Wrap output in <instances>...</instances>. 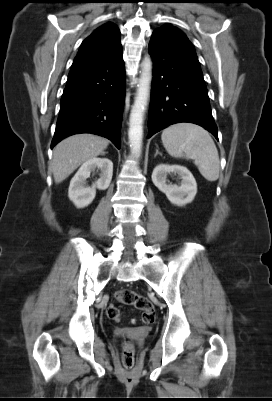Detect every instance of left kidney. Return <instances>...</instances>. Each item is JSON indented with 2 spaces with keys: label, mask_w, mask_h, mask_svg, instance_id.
Wrapping results in <instances>:
<instances>
[{
  "label": "left kidney",
  "mask_w": 272,
  "mask_h": 401,
  "mask_svg": "<svg viewBox=\"0 0 272 401\" xmlns=\"http://www.w3.org/2000/svg\"><path fill=\"white\" fill-rule=\"evenodd\" d=\"M174 173L180 176L181 185H168L167 175ZM154 185L163 192L168 200L177 206H184L191 203L197 193V183L192 173L180 165L160 164L156 166L152 173Z\"/></svg>",
  "instance_id": "5707ae66"
}]
</instances>
